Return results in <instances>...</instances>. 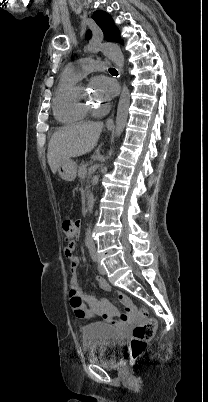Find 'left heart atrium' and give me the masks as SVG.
Returning a JSON list of instances; mask_svg holds the SVG:
<instances>
[{
    "label": "left heart atrium",
    "mask_w": 208,
    "mask_h": 402,
    "mask_svg": "<svg viewBox=\"0 0 208 402\" xmlns=\"http://www.w3.org/2000/svg\"><path fill=\"white\" fill-rule=\"evenodd\" d=\"M96 83L99 87V90L101 92V100H109L110 98H112L115 94L116 91V86L115 83L105 77V76H99L96 78Z\"/></svg>",
    "instance_id": "obj_1"
}]
</instances>
